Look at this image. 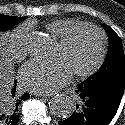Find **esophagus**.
<instances>
[{"instance_id": "1", "label": "esophagus", "mask_w": 125, "mask_h": 125, "mask_svg": "<svg viewBox=\"0 0 125 125\" xmlns=\"http://www.w3.org/2000/svg\"><path fill=\"white\" fill-rule=\"evenodd\" d=\"M34 94L38 97H44V98H47L52 95V94H40V93H34Z\"/></svg>"}]
</instances>
